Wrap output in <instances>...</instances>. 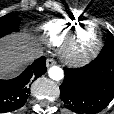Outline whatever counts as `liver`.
Segmentation results:
<instances>
[{"instance_id":"1","label":"liver","mask_w":114,"mask_h":114,"mask_svg":"<svg viewBox=\"0 0 114 114\" xmlns=\"http://www.w3.org/2000/svg\"><path fill=\"white\" fill-rule=\"evenodd\" d=\"M36 49L25 33L12 34L0 42V77L16 75L27 63V54Z\"/></svg>"}]
</instances>
